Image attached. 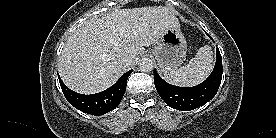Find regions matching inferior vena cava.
Returning a JSON list of instances; mask_svg holds the SVG:
<instances>
[{
  "instance_id": "1",
  "label": "inferior vena cava",
  "mask_w": 276,
  "mask_h": 138,
  "mask_svg": "<svg viewBox=\"0 0 276 138\" xmlns=\"http://www.w3.org/2000/svg\"><path fill=\"white\" fill-rule=\"evenodd\" d=\"M120 61L122 64L129 66L133 62V59L130 56L126 55V56L121 57Z\"/></svg>"
}]
</instances>
